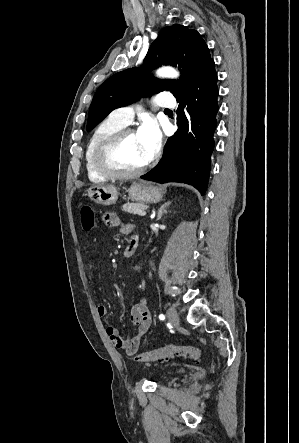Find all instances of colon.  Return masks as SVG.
Returning a JSON list of instances; mask_svg holds the SVG:
<instances>
[{
  "label": "colon",
  "instance_id": "5ec220e1",
  "mask_svg": "<svg viewBox=\"0 0 299 443\" xmlns=\"http://www.w3.org/2000/svg\"><path fill=\"white\" fill-rule=\"evenodd\" d=\"M79 217L81 227L84 231H91L95 226V213L89 205H82L79 208ZM171 357H184L192 360H198L201 352L198 348L188 345H166L144 351L135 357L137 362H147L152 360H166Z\"/></svg>",
  "mask_w": 299,
  "mask_h": 443
}]
</instances>
